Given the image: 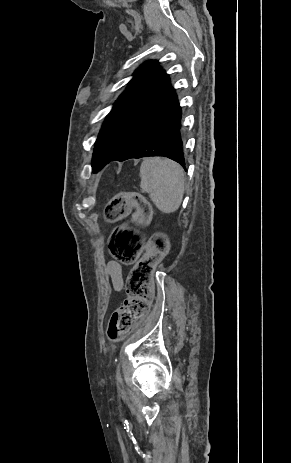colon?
I'll list each match as a JSON object with an SVG mask.
<instances>
[{"mask_svg":"<svg viewBox=\"0 0 291 463\" xmlns=\"http://www.w3.org/2000/svg\"><path fill=\"white\" fill-rule=\"evenodd\" d=\"M134 209L133 224L149 222L152 209L145 198L138 193H119L107 206V217L116 220L126 216ZM168 242L164 234H152L146 246L143 237L130 224L116 226L109 238L111 256L122 264L135 263L141 252L142 256L129 274L126 290L128 297L112 314L107 335L111 341H117L126 336L133 325L148 311L152 295L151 275L156 260L167 250Z\"/></svg>","mask_w":291,"mask_h":463,"instance_id":"colon-1","label":"colon"}]
</instances>
